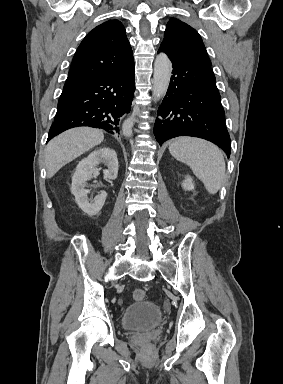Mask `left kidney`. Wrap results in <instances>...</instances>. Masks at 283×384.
<instances>
[{"label":"left kidney","instance_id":"5707ae66","mask_svg":"<svg viewBox=\"0 0 283 384\" xmlns=\"http://www.w3.org/2000/svg\"><path fill=\"white\" fill-rule=\"evenodd\" d=\"M184 190H194V182L190 176H186V180L183 182Z\"/></svg>","mask_w":283,"mask_h":384}]
</instances>
